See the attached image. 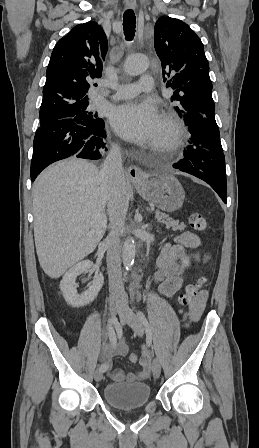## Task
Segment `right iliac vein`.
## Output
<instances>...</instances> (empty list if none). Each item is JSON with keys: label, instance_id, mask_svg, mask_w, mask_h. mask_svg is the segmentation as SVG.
<instances>
[{"label": "right iliac vein", "instance_id": "63e3f726", "mask_svg": "<svg viewBox=\"0 0 259 448\" xmlns=\"http://www.w3.org/2000/svg\"><path fill=\"white\" fill-rule=\"evenodd\" d=\"M120 301H118L117 299H111L109 302V310H110V314L113 320L116 319V314L118 313V310L120 308ZM103 373L97 369L94 373V379L95 381L99 382L101 381L103 375Z\"/></svg>", "mask_w": 259, "mask_h": 448}]
</instances>
